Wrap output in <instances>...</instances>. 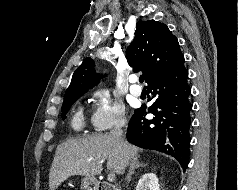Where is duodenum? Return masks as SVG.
Instances as JSON below:
<instances>
[{
  "mask_svg": "<svg viewBox=\"0 0 238 190\" xmlns=\"http://www.w3.org/2000/svg\"><path fill=\"white\" fill-rule=\"evenodd\" d=\"M94 190H117V189L108 183L97 182L94 184Z\"/></svg>",
  "mask_w": 238,
  "mask_h": 190,
  "instance_id": "1",
  "label": "duodenum"
}]
</instances>
